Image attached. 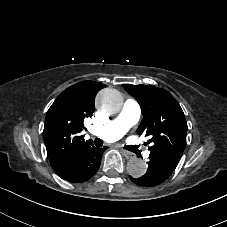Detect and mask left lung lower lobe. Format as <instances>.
<instances>
[{"instance_id":"0a47b994","label":"left lung lower lobe","mask_w":227,"mask_h":227,"mask_svg":"<svg viewBox=\"0 0 227 227\" xmlns=\"http://www.w3.org/2000/svg\"><path fill=\"white\" fill-rule=\"evenodd\" d=\"M149 158L148 170L142 177L135 179L130 176V179L140 186H156L164 182L177 166L168 160L153 155H149Z\"/></svg>"}]
</instances>
